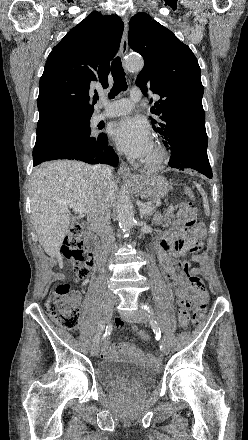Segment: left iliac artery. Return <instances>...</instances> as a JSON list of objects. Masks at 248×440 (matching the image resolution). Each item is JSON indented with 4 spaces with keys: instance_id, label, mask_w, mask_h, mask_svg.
<instances>
[{
    "instance_id": "obj_1",
    "label": "left iliac artery",
    "mask_w": 248,
    "mask_h": 440,
    "mask_svg": "<svg viewBox=\"0 0 248 440\" xmlns=\"http://www.w3.org/2000/svg\"><path fill=\"white\" fill-rule=\"evenodd\" d=\"M143 308H144V310H146L149 314L152 313V311L150 310L149 306L144 305ZM153 329H154V331L157 333L158 338L160 339V338H161V332H160V329H159V327L157 326L156 323L153 324ZM163 344H164V339L161 338V340H160V348H161V349H162V347H163Z\"/></svg>"
}]
</instances>
